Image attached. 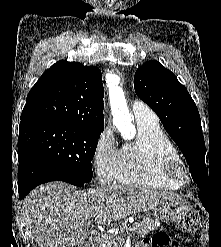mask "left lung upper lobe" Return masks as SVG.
Here are the masks:
<instances>
[{"mask_svg": "<svg viewBox=\"0 0 221 247\" xmlns=\"http://www.w3.org/2000/svg\"><path fill=\"white\" fill-rule=\"evenodd\" d=\"M134 89L159 116L165 130L184 154L194 182L201 190H209L201 119L185 86L159 62L148 61L137 69Z\"/></svg>", "mask_w": 221, "mask_h": 247, "instance_id": "5c2ea615", "label": "left lung upper lobe"}]
</instances>
